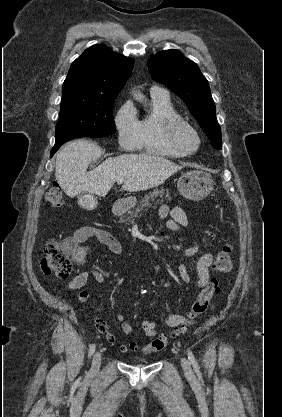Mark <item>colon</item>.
<instances>
[{"mask_svg":"<svg viewBox=\"0 0 282 417\" xmlns=\"http://www.w3.org/2000/svg\"><path fill=\"white\" fill-rule=\"evenodd\" d=\"M45 200L51 208H59L62 205L61 187L54 184L47 188ZM45 255L40 261V270L44 274H55L56 276L67 277L72 272V266L82 265L85 263L86 251L80 244H73L69 240H49L44 245ZM233 262L231 252L224 248L215 258L214 268L219 272H229L232 269ZM220 290V282L216 278H211L205 288L200 292L189 312V318L202 315L208 308L211 300ZM173 338L168 336L165 339H156L151 347L153 353H162ZM145 355L150 353L148 348L143 350Z\"/></svg>","mask_w":282,"mask_h":417,"instance_id":"colon-1","label":"colon"}]
</instances>
